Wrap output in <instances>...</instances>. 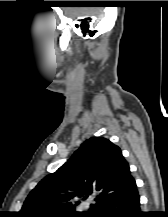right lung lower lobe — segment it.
Instances as JSON below:
<instances>
[{"instance_id": "1", "label": "right lung lower lobe", "mask_w": 168, "mask_h": 217, "mask_svg": "<svg viewBox=\"0 0 168 217\" xmlns=\"http://www.w3.org/2000/svg\"><path fill=\"white\" fill-rule=\"evenodd\" d=\"M140 211V197L137 188L130 194L114 199L104 205V207L94 217H144Z\"/></svg>"}]
</instances>
